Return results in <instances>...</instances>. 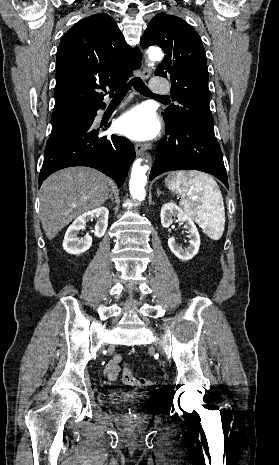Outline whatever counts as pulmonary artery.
<instances>
[{"label": "pulmonary artery", "mask_w": 279, "mask_h": 465, "mask_svg": "<svg viewBox=\"0 0 279 465\" xmlns=\"http://www.w3.org/2000/svg\"><path fill=\"white\" fill-rule=\"evenodd\" d=\"M151 88L153 92L157 94H166L169 92L168 85H166L160 79H157V78L152 81Z\"/></svg>", "instance_id": "pulmonary-artery-1"}]
</instances>
